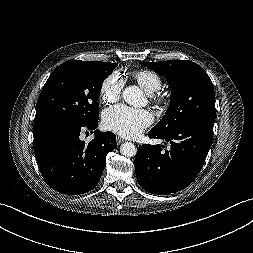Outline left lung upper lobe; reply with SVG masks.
Listing matches in <instances>:
<instances>
[{"label":"left lung upper lobe","instance_id":"5c2ea615","mask_svg":"<svg viewBox=\"0 0 253 253\" xmlns=\"http://www.w3.org/2000/svg\"><path fill=\"white\" fill-rule=\"evenodd\" d=\"M142 65L165 76L172 89L165 116L152 129L169 134L182 124L198 120L215 121V93L207 73L188 60L142 62Z\"/></svg>","mask_w":253,"mask_h":253}]
</instances>
